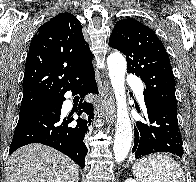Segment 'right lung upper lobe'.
Masks as SVG:
<instances>
[{
  "instance_id": "1",
  "label": "right lung upper lobe",
  "mask_w": 196,
  "mask_h": 182,
  "mask_svg": "<svg viewBox=\"0 0 196 182\" xmlns=\"http://www.w3.org/2000/svg\"><path fill=\"white\" fill-rule=\"evenodd\" d=\"M79 20L60 13L41 25L30 43L21 105L44 102L92 65Z\"/></svg>"
}]
</instances>
